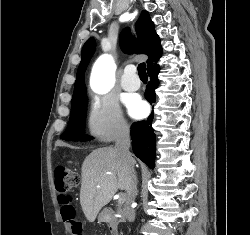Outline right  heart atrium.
<instances>
[{
  "instance_id": "right-heart-atrium-1",
  "label": "right heart atrium",
  "mask_w": 250,
  "mask_h": 235,
  "mask_svg": "<svg viewBox=\"0 0 250 235\" xmlns=\"http://www.w3.org/2000/svg\"><path fill=\"white\" fill-rule=\"evenodd\" d=\"M89 133L101 140L112 141L126 138L130 126L119 106L106 97H94L87 114Z\"/></svg>"
}]
</instances>
